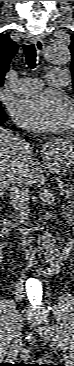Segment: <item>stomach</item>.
<instances>
[{"label":"stomach","mask_w":74,"mask_h":366,"mask_svg":"<svg viewBox=\"0 0 74 366\" xmlns=\"http://www.w3.org/2000/svg\"><path fill=\"white\" fill-rule=\"evenodd\" d=\"M59 152H61V149H59V147L57 146V148L54 149V151L52 152L51 155H53L54 153H59Z\"/></svg>","instance_id":"1"}]
</instances>
